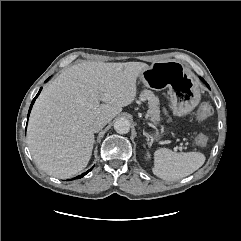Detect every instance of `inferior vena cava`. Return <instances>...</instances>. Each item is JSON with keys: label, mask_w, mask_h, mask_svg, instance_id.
Returning a JSON list of instances; mask_svg holds the SVG:
<instances>
[{"label": "inferior vena cava", "mask_w": 241, "mask_h": 241, "mask_svg": "<svg viewBox=\"0 0 241 241\" xmlns=\"http://www.w3.org/2000/svg\"><path fill=\"white\" fill-rule=\"evenodd\" d=\"M107 119L105 117H100L96 119L92 125L91 129L94 133L99 132L106 124H107Z\"/></svg>", "instance_id": "inferior-vena-cava-1"}]
</instances>
